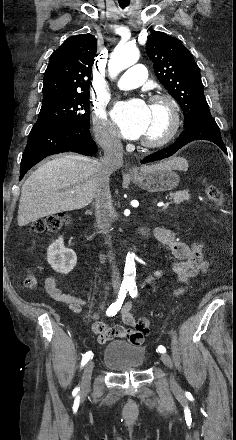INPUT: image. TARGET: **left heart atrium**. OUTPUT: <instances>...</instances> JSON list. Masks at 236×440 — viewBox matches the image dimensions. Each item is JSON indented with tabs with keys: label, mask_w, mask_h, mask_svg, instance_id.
Wrapping results in <instances>:
<instances>
[{
	"label": "left heart atrium",
	"mask_w": 236,
	"mask_h": 440,
	"mask_svg": "<svg viewBox=\"0 0 236 440\" xmlns=\"http://www.w3.org/2000/svg\"><path fill=\"white\" fill-rule=\"evenodd\" d=\"M149 116V105L138 98L118 103L113 111L119 131L127 139H137L143 136Z\"/></svg>",
	"instance_id": "left-heart-atrium-1"
}]
</instances>
